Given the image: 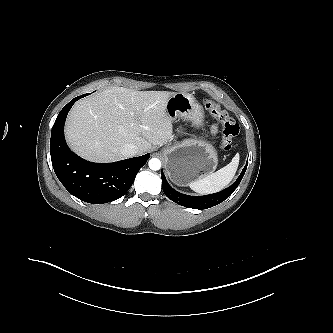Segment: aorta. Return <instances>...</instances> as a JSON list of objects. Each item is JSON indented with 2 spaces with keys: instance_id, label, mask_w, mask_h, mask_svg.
Masks as SVG:
<instances>
[{
  "instance_id": "1",
  "label": "aorta",
  "mask_w": 333,
  "mask_h": 333,
  "mask_svg": "<svg viewBox=\"0 0 333 333\" xmlns=\"http://www.w3.org/2000/svg\"><path fill=\"white\" fill-rule=\"evenodd\" d=\"M149 168L153 171H157L161 168V161L157 158H152L149 160Z\"/></svg>"
}]
</instances>
